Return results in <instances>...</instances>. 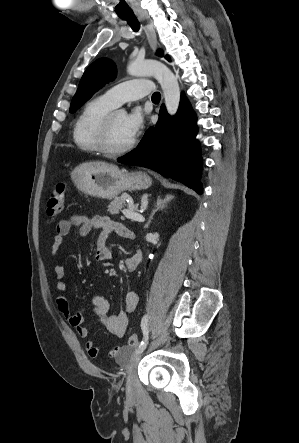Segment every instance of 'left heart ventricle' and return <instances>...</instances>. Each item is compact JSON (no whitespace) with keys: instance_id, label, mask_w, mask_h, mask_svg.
Listing matches in <instances>:
<instances>
[{"instance_id":"b2bd125f","label":"left heart ventricle","mask_w":299,"mask_h":443,"mask_svg":"<svg viewBox=\"0 0 299 443\" xmlns=\"http://www.w3.org/2000/svg\"><path fill=\"white\" fill-rule=\"evenodd\" d=\"M125 114L118 111L113 120L112 131L110 136V145L112 148L118 149L126 146L132 141V137L125 127Z\"/></svg>"}]
</instances>
